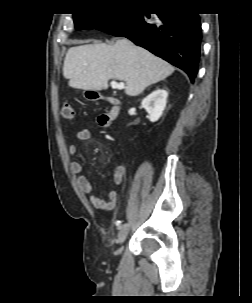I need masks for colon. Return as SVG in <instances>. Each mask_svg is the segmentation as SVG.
<instances>
[{
    "mask_svg": "<svg viewBox=\"0 0 252 303\" xmlns=\"http://www.w3.org/2000/svg\"><path fill=\"white\" fill-rule=\"evenodd\" d=\"M61 116L64 119H72L74 117V109L70 102L66 101L61 107Z\"/></svg>",
    "mask_w": 252,
    "mask_h": 303,
    "instance_id": "1",
    "label": "colon"
}]
</instances>
